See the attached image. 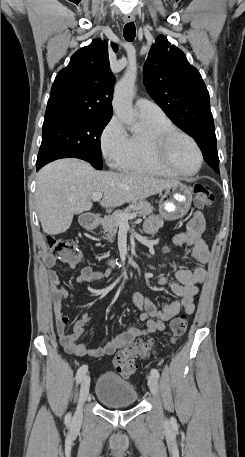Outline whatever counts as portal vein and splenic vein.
<instances>
[{"mask_svg": "<svg viewBox=\"0 0 245 457\" xmlns=\"http://www.w3.org/2000/svg\"><path fill=\"white\" fill-rule=\"evenodd\" d=\"M103 192H94L92 196V200H100L102 198ZM120 222H128L129 218H135L137 216L136 212H132V214H118Z\"/></svg>", "mask_w": 245, "mask_h": 457, "instance_id": "18ae733b", "label": "portal vein and splenic vein"}]
</instances>
